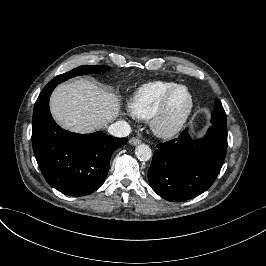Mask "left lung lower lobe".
I'll return each instance as SVG.
<instances>
[{
	"instance_id": "1",
	"label": "left lung lower lobe",
	"mask_w": 266,
	"mask_h": 266,
	"mask_svg": "<svg viewBox=\"0 0 266 266\" xmlns=\"http://www.w3.org/2000/svg\"><path fill=\"white\" fill-rule=\"evenodd\" d=\"M227 151V127L212 125L192 140L188 129L177 139L157 145L148 179L152 189L171 202L189 200L215 181Z\"/></svg>"
}]
</instances>
